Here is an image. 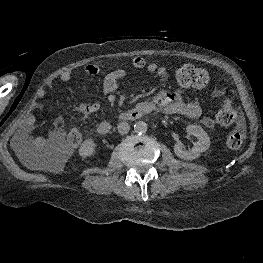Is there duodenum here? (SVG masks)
I'll list each match as a JSON object with an SVG mask.
<instances>
[{
  "mask_svg": "<svg viewBox=\"0 0 263 263\" xmlns=\"http://www.w3.org/2000/svg\"><path fill=\"white\" fill-rule=\"evenodd\" d=\"M152 111L151 105L148 102L139 103L133 108L120 113L117 116L118 121H134L140 119L145 114ZM113 127V121L104 120L97 125V131L99 134H108Z\"/></svg>",
  "mask_w": 263,
  "mask_h": 263,
  "instance_id": "1",
  "label": "duodenum"
}]
</instances>
